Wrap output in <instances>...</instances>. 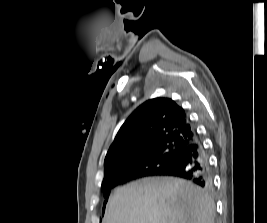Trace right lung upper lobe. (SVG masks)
<instances>
[{"mask_svg":"<svg viewBox=\"0 0 267 223\" xmlns=\"http://www.w3.org/2000/svg\"><path fill=\"white\" fill-rule=\"evenodd\" d=\"M196 139L185 110L169 98H154L140 105L124 122L104 161V181L136 171L135 161L161 146L174 145L184 151Z\"/></svg>","mask_w":267,"mask_h":223,"instance_id":"1","label":"right lung upper lobe"}]
</instances>
